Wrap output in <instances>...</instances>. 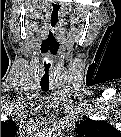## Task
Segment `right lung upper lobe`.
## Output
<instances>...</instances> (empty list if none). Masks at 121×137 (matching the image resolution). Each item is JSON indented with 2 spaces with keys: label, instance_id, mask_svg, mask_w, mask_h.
Here are the masks:
<instances>
[{
  "label": "right lung upper lobe",
  "instance_id": "1",
  "mask_svg": "<svg viewBox=\"0 0 121 137\" xmlns=\"http://www.w3.org/2000/svg\"><path fill=\"white\" fill-rule=\"evenodd\" d=\"M16 130V124L12 121L1 122V132L9 134V131L14 132Z\"/></svg>",
  "mask_w": 121,
  "mask_h": 137
}]
</instances>
